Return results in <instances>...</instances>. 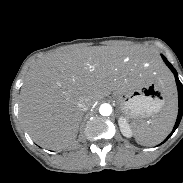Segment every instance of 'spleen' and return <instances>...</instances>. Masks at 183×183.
<instances>
[{
    "label": "spleen",
    "instance_id": "3e777b00",
    "mask_svg": "<svg viewBox=\"0 0 183 183\" xmlns=\"http://www.w3.org/2000/svg\"><path fill=\"white\" fill-rule=\"evenodd\" d=\"M176 116L177 103L171 99L158 115L153 116L150 123L145 121L132 123L136 142L144 146H152L162 142L171 132Z\"/></svg>",
    "mask_w": 183,
    "mask_h": 183
}]
</instances>
